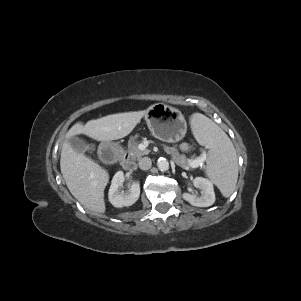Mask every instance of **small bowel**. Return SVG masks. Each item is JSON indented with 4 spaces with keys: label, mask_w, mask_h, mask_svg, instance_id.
I'll list each match as a JSON object with an SVG mask.
<instances>
[{
    "label": "small bowel",
    "mask_w": 301,
    "mask_h": 301,
    "mask_svg": "<svg viewBox=\"0 0 301 301\" xmlns=\"http://www.w3.org/2000/svg\"><path fill=\"white\" fill-rule=\"evenodd\" d=\"M180 148H181V150L186 151L189 149V145L187 143H182Z\"/></svg>",
    "instance_id": "obj_1"
}]
</instances>
